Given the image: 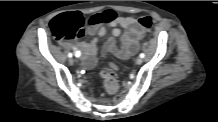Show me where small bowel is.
<instances>
[{
    "mask_svg": "<svg viewBox=\"0 0 218 122\" xmlns=\"http://www.w3.org/2000/svg\"><path fill=\"white\" fill-rule=\"evenodd\" d=\"M112 28V35L103 48H98V37L106 34L104 27ZM87 34L94 37L90 42L74 41L69 47L81 56L82 63L86 67H93L99 55L112 53L119 59L125 60L135 54L139 49V43L144 36V29L139 21L134 17H120L116 13V8H109L88 17ZM119 37L120 45H117L115 38Z\"/></svg>",
    "mask_w": 218,
    "mask_h": 122,
    "instance_id": "small-bowel-1",
    "label": "small bowel"
}]
</instances>
